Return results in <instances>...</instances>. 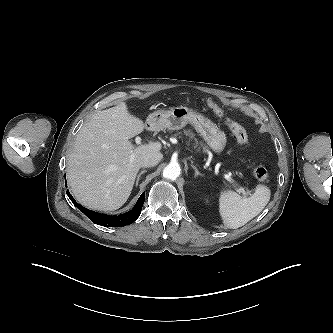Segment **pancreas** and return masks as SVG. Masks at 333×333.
I'll use <instances>...</instances> for the list:
<instances>
[{
  "label": "pancreas",
  "instance_id": "pancreas-1",
  "mask_svg": "<svg viewBox=\"0 0 333 333\" xmlns=\"http://www.w3.org/2000/svg\"><path fill=\"white\" fill-rule=\"evenodd\" d=\"M183 134L188 136L191 141L194 140V143H193L194 148H198V149L202 148L203 150H207V147L202 142L198 141V139L195 137V134L192 132V130H190V129L183 130ZM176 135H179L181 137L182 132H178Z\"/></svg>",
  "mask_w": 333,
  "mask_h": 333
}]
</instances>
